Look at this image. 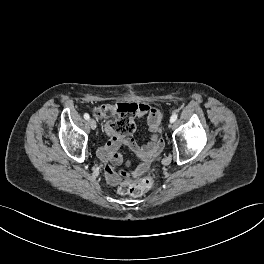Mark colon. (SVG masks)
<instances>
[{"label":"colon","mask_w":264,"mask_h":264,"mask_svg":"<svg viewBox=\"0 0 264 264\" xmlns=\"http://www.w3.org/2000/svg\"><path fill=\"white\" fill-rule=\"evenodd\" d=\"M137 112L135 103H119L106 105L95 110L97 117L107 120L111 130L120 135L131 134L135 130L134 117ZM153 179L150 176L135 180H126L119 186V192L124 195L141 196L151 189Z\"/></svg>","instance_id":"5ec220e1"}]
</instances>
